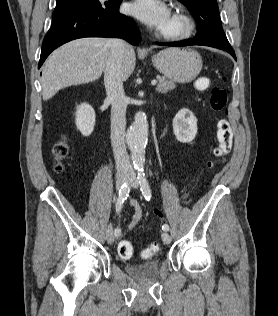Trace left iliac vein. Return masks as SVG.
Returning <instances> with one entry per match:
<instances>
[{"label": "left iliac vein", "instance_id": "4c4485c4", "mask_svg": "<svg viewBox=\"0 0 278 316\" xmlns=\"http://www.w3.org/2000/svg\"><path fill=\"white\" fill-rule=\"evenodd\" d=\"M128 182L129 184L134 187V188H137L138 187V182L136 180V177L134 174H130L129 177H128ZM162 240L165 244H169L171 242V236L167 233V232H164L162 234Z\"/></svg>", "mask_w": 278, "mask_h": 316}]
</instances>
